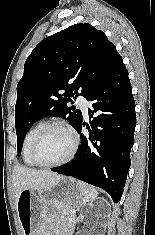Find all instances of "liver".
I'll return each mask as SVG.
<instances>
[{
	"label": "liver",
	"mask_w": 155,
	"mask_h": 235,
	"mask_svg": "<svg viewBox=\"0 0 155 235\" xmlns=\"http://www.w3.org/2000/svg\"><path fill=\"white\" fill-rule=\"evenodd\" d=\"M61 178V175L51 171L16 165L13 169V188L16 201L23 190H49Z\"/></svg>",
	"instance_id": "1"
}]
</instances>
